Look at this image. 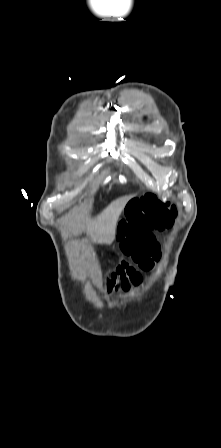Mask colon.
Segmentation results:
<instances>
[{
    "mask_svg": "<svg viewBox=\"0 0 221 448\" xmlns=\"http://www.w3.org/2000/svg\"><path fill=\"white\" fill-rule=\"evenodd\" d=\"M142 209L147 219L139 216V210ZM176 216V209L170 203H164L152 195L144 197L140 202L132 204L128 209L127 219L134 222L137 230L130 228L127 220H121L118 225V236L129 238L132 233L137 234V242L131 248L135 250L133 259L139 263L140 267L149 270L154 263L159 260L157 245L150 230L163 231L169 228ZM139 279L138 274L128 266H121L120 271L113 274L109 280H122L126 283H135Z\"/></svg>",
    "mask_w": 221,
    "mask_h": 448,
    "instance_id": "1",
    "label": "colon"
}]
</instances>
